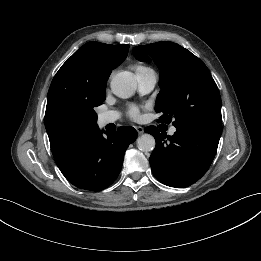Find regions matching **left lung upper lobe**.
<instances>
[{"instance_id":"1","label":"left lung upper lobe","mask_w":261,"mask_h":261,"mask_svg":"<svg viewBox=\"0 0 261 261\" xmlns=\"http://www.w3.org/2000/svg\"><path fill=\"white\" fill-rule=\"evenodd\" d=\"M133 52L140 61L152 57L161 71L158 122L174 119L176 128L222 129L220 93L202 60L169 41L134 47Z\"/></svg>"}]
</instances>
